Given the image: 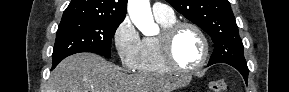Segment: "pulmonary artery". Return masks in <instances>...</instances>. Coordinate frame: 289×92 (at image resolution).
<instances>
[{
	"mask_svg": "<svg viewBox=\"0 0 289 92\" xmlns=\"http://www.w3.org/2000/svg\"><path fill=\"white\" fill-rule=\"evenodd\" d=\"M152 11L155 17L168 18L174 16L172 8L160 2L153 4Z\"/></svg>",
	"mask_w": 289,
	"mask_h": 92,
	"instance_id": "pulmonary-artery-1",
	"label": "pulmonary artery"
}]
</instances>
